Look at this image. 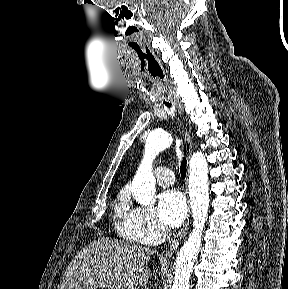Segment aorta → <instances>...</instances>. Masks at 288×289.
<instances>
[{
  "label": "aorta",
  "mask_w": 288,
  "mask_h": 289,
  "mask_svg": "<svg viewBox=\"0 0 288 289\" xmlns=\"http://www.w3.org/2000/svg\"><path fill=\"white\" fill-rule=\"evenodd\" d=\"M172 144L166 132H151L145 143L143 160L132 182V194L144 206H152L155 198L153 161L156 156ZM189 196L193 217V230L180 248L176 263L172 289H189L192 268L200 251L202 232L208 217V164L202 152H195L190 159Z\"/></svg>",
  "instance_id": "obj_1"
}]
</instances>
